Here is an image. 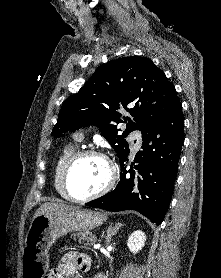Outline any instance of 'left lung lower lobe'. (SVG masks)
I'll list each match as a JSON object with an SVG mask.
<instances>
[{
    "label": "left lung lower lobe",
    "instance_id": "1",
    "mask_svg": "<svg viewBox=\"0 0 221 278\" xmlns=\"http://www.w3.org/2000/svg\"><path fill=\"white\" fill-rule=\"evenodd\" d=\"M184 120L180 100L156 123L142 132L138 151L129 170L128 155L120 160L121 175L116 188L86 203L107 211L135 210L161 224L173 194L178 161L184 142Z\"/></svg>",
    "mask_w": 221,
    "mask_h": 278
}]
</instances>
